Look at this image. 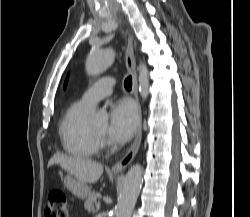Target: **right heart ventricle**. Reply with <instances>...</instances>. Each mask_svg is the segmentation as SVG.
Here are the masks:
<instances>
[{"label": "right heart ventricle", "instance_id": "1", "mask_svg": "<svg viewBox=\"0 0 250 217\" xmlns=\"http://www.w3.org/2000/svg\"><path fill=\"white\" fill-rule=\"evenodd\" d=\"M91 107L81 100L71 103L60 123L59 136L66 153L79 158H92L100 150V142L92 134L88 116Z\"/></svg>", "mask_w": 250, "mask_h": 217}]
</instances>
